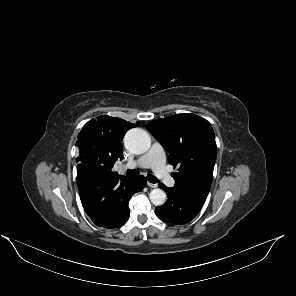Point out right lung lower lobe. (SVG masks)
<instances>
[{"instance_id":"right-lung-lower-lobe-1","label":"right lung lower lobe","mask_w":296,"mask_h":296,"mask_svg":"<svg viewBox=\"0 0 296 296\" xmlns=\"http://www.w3.org/2000/svg\"><path fill=\"white\" fill-rule=\"evenodd\" d=\"M77 184L85 212L100 227L107 229L123 225L129 218V200L143 190V176L106 178L96 175L86 165H77Z\"/></svg>"}]
</instances>
